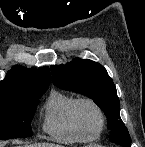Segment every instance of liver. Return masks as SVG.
I'll use <instances>...</instances> for the list:
<instances>
[{
	"label": "liver",
	"mask_w": 145,
	"mask_h": 147,
	"mask_svg": "<svg viewBox=\"0 0 145 147\" xmlns=\"http://www.w3.org/2000/svg\"><path fill=\"white\" fill-rule=\"evenodd\" d=\"M27 147H61V146L52 143H37V144L28 145Z\"/></svg>",
	"instance_id": "1"
}]
</instances>
